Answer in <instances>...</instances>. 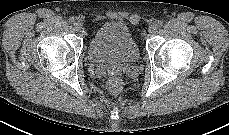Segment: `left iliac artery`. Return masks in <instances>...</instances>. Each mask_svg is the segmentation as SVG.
Masks as SVG:
<instances>
[{
  "mask_svg": "<svg viewBox=\"0 0 229 135\" xmlns=\"http://www.w3.org/2000/svg\"><path fill=\"white\" fill-rule=\"evenodd\" d=\"M157 25H158L159 27H161V26H163V22H162V21H158V22H157Z\"/></svg>",
  "mask_w": 229,
  "mask_h": 135,
  "instance_id": "1",
  "label": "left iliac artery"
}]
</instances>
